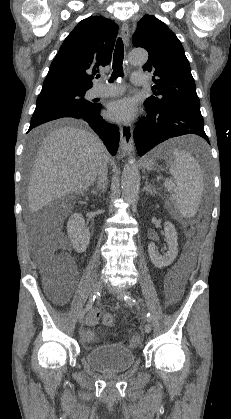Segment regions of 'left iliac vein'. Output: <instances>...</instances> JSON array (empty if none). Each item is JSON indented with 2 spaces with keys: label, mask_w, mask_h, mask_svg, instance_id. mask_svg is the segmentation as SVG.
<instances>
[{
  "label": "left iliac vein",
  "mask_w": 231,
  "mask_h": 419,
  "mask_svg": "<svg viewBox=\"0 0 231 419\" xmlns=\"http://www.w3.org/2000/svg\"><path fill=\"white\" fill-rule=\"evenodd\" d=\"M115 294H116V297H117L118 300L123 301L124 296L126 294V290L124 288H121V289L117 290L115 292ZM151 329H152V327H151L150 323H146L144 325V330H145L146 333H150Z\"/></svg>",
  "instance_id": "left-iliac-vein-1"
}]
</instances>
